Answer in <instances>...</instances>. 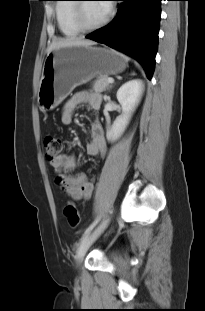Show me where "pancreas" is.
<instances>
[{"mask_svg":"<svg viewBox=\"0 0 205 311\" xmlns=\"http://www.w3.org/2000/svg\"><path fill=\"white\" fill-rule=\"evenodd\" d=\"M107 76H100L97 80L93 82V91L101 93L103 91H106V89L109 88L110 84L107 81Z\"/></svg>","mask_w":205,"mask_h":311,"instance_id":"pancreas-1","label":"pancreas"}]
</instances>
